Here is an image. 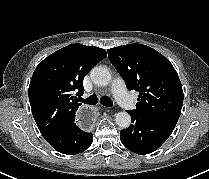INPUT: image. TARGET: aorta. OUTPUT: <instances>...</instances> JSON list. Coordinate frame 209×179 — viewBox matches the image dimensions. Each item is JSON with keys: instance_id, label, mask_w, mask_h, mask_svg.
Here are the masks:
<instances>
[{"instance_id": "1", "label": "aorta", "mask_w": 209, "mask_h": 179, "mask_svg": "<svg viewBox=\"0 0 209 179\" xmlns=\"http://www.w3.org/2000/svg\"><path fill=\"white\" fill-rule=\"evenodd\" d=\"M92 82L97 86H107L111 82V73L105 66H96L90 72ZM115 122L121 128H128L131 124V116L121 111L115 115Z\"/></svg>"}]
</instances>
